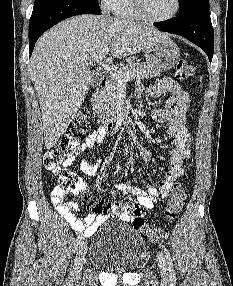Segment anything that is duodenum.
I'll list each match as a JSON object with an SVG mask.
<instances>
[{
  "label": "duodenum",
  "instance_id": "1",
  "mask_svg": "<svg viewBox=\"0 0 233 286\" xmlns=\"http://www.w3.org/2000/svg\"><path fill=\"white\" fill-rule=\"evenodd\" d=\"M107 85V77L106 76H103L101 77V79L99 80L98 82V85H97V88H96V93L95 95L93 96L92 98V105H93V115L96 116V109H95V104H96V100H97V96H98V93L100 91H102ZM108 128L111 129L113 128V124H109L108 125Z\"/></svg>",
  "mask_w": 233,
  "mask_h": 286
}]
</instances>
